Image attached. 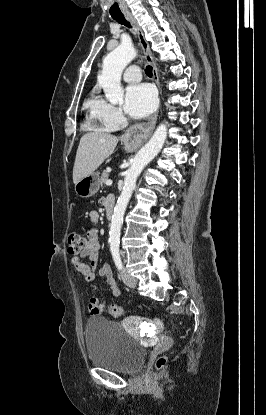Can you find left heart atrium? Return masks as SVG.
<instances>
[{
    "label": "left heart atrium",
    "mask_w": 266,
    "mask_h": 415,
    "mask_svg": "<svg viewBox=\"0 0 266 415\" xmlns=\"http://www.w3.org/2000/svg\"><path fill=\"white\" fill-rule=\"evenodd\" d=\"M155 90L149 84H135L126 89L124 110L133 118H143L156 107Z\"/></svg>",
    "instance_id": "obj_1"
}]
</instances>
